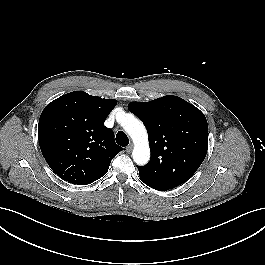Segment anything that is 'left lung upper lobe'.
<instances>
[{"mask_svg":"<svg viewBox=\"0 0 265 265\" xmlns=\"http://www.w3.org/2000/svg\"><path fill=\"white\" fill-rule=\"evenodd\" d=\"M130 111L146 125L151 159L137 166L143 182L162 190L189 180L202 164L208 149V125L204 114L177 96L149 102H131Z\"/></svg>","mask_w":265,"mask_h":265,"instance_id":"1","label":"left lung upper lobe"}]
</instances>
